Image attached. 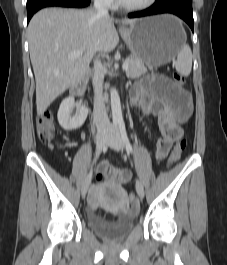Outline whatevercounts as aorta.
<instances>
[{
    "mask_svg": "<svg viewBox=\"0 0 227 265\" xmlns=\"http://www.w3.org/2000/svg\"><path fill=\"white\" fill-rule=\"evenodd\" d=\"M111 98V109H112V119L113 123H119L123 120L120 97L116 89H111L110 92Z\"/></svg>",
    "mask_w": 227,
    "mask_h": 265,
    "instance_id": "aorta-1",
    "label": "aorta"
}]
</instances>
